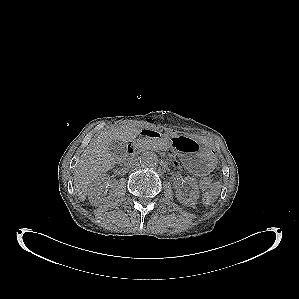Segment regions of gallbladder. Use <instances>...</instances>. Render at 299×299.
<instances>
[{
	"mask_svg": "<svg viewBox=\"0 0 299 299\" xmlns=\"http://www.w3.org/2000/svg\"><path fill=\"white\" fill-rule=\"evenodd\" d=\"M109 151L116 156H123L126 151V146L121 141H112L109 145Z\"/></svg>",
	"mask_w": 299,
	"mask_h": 299,
	"instance_id": "bac80fb5",
	"label": "gallbladder"
}]
</instances>
